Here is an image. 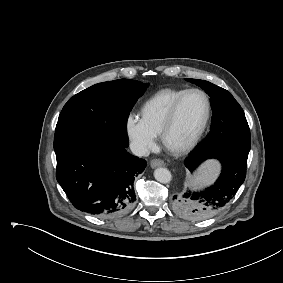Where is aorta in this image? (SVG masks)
I'll use <instances>...</instances> for the list:
<instances>
[{
    "mask_svg": "<svg viewBox=\"0 0 283 283\" xmlns=\"http://www.w3.org/2000/svg\"><path fill=\"white\" fill-rule=\"evenodd\" d=\"M155 179L160 183H169L171 181V172L166 168H157L154 171Z\"/></svg>",
    "mask_w": 283,
    "mask_h": 283,
    "instance_id": "762f6f07",
    "label": "aorta"
}]
</instances>
